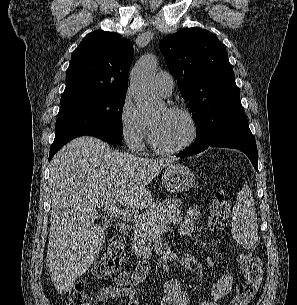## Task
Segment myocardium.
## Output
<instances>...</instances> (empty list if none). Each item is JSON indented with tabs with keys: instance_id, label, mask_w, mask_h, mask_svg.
Wrapping results in <instances>:
<instances>
[{
	"instance_id": "obj_1",
	"label": "myocardium",
	"mask_w": 297,
	"mask_h": 305,
	"mask_svg": "<svg viewBox=\"0 0 297 305\" xmlns=\"http://www.w3.org/2000/svg\"><path fill=\"white\" fill-rule=\"evenodd\" d=\"M166 109L171 113H176L184 116L189 121L191 127L190 136L184 143L175 147L167 148L157 143V141L155 140L153 127L151 123H149V144L152 149L162 155H172L188 149L195 142L198 137V123L193 113L186 108L177 105H169L166 107Z\"/></svg>"
}]
</instances>
